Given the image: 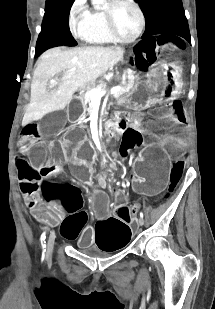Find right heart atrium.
I'll use <instances>...</instances> for the list:
<instances>
[{
	"mask_svg": "<svg viewBox=\"0 0 215 309\" xmlns=\"http://www.w3.org/2000/svg\"><path fill=\"white\" fill-rule=\"evenodd\" d=\"M74 6L75 7H84L85 6V0H74ZM90 16L84 14L83 12L73 8L70 12V24L73 29V32L76 35H79L78 28H81L82 25H88L89 24Z\"/></svg>",
	"mask_w": 215,
	"mask_h": 309,
	"instance_id": "right-heart-atrium-1",
	"label": "right heart atrium"
}]
</instances>
